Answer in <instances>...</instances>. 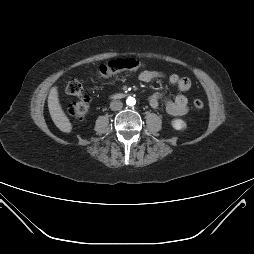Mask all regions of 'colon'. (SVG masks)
Wrapping results in <instances>:
<instances>
[{"label": "colon", "instance_id": "5ec220e1", "mask_svg": "<svg viewBox=\"0 0 254 254\" xmlns=\"http://www.w3.org/2000/svg\"><path fill=\"white\" fill-rule=\"evenodd\" d=\"M143 67V64L133 58L111 60L99 67V76L107 79L122 70H138ZM66 92L70 96L76 98L75 101L69 104L68 112L75 119L82 121L90 107V98L84 93L82 80L79 78H72L66 87ZM193 105L196 109L204 108V102L200 99H195Z\"/></svg>", "mask_w": 254, "mask_h": 254}]
</instances>
